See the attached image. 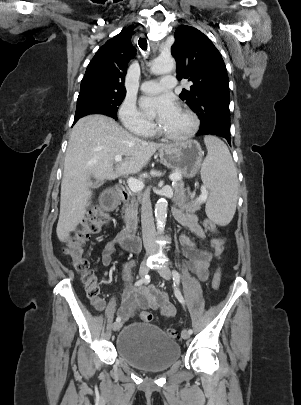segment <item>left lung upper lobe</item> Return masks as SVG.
Segmentation results:
<instances>
[{
    "mask_svg": "<svg viewBox=\"0 0 301 405\" xmlns=\"http://www.w3.org/2000/svg\"><path fill=\"white\" fill-rule=\"evenodd\" d=\"M171 53L176 60L177 78L191 82L180 98L197 113L200 129L221 127L230 130L229 85L226 66L211 40L191 26L174 34Z\"/></svg>",
    "mask_w": 301,
    "mask_h": 405,
    "instance_id": "1",
    "label": "left lung upper lobe"
}]
</instances>
